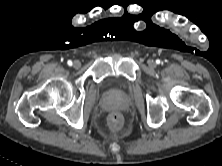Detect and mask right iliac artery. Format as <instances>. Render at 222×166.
I'll return each instance as SVG.
<instances>
[{"label":"right iliac artery","instance_id":"right-iliac-artery-1","mask_svg":"<svg viewBox=\"0 0 222 166\" xmlns=\"http://www.w3.org/2000/svg\"><path fill=\"white\" fill-rule=\"evenodd\" d=\"M67 64H68L69 66H71V65H72V61H71V60H68Z\"/></svg>","mask_w":222,"mask_h":166}]
</instances>
